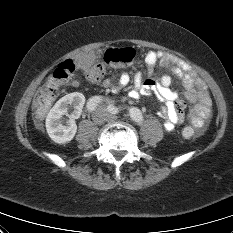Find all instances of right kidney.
<instances>
[{"label":"right kidney","mask_w":233,"mask_h":233,"mask_svg":"<svg viewBox=\"0 0 233 233\" xmlns=\"http://www.w3.org/2000/svg\"><path fill=\"white\" fill-rule=\"evenodd\" d=\"M84 104V95L74 92L62 97L50 110L46 118V130L55 143L66 144L74 138L77 132L75 119L80 117ZM64 115L69 117L66 124Z\"/></svg>","instance_id":"obj_1"}]
</instances>
